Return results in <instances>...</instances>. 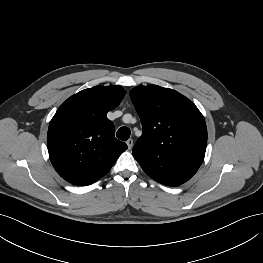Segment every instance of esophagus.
<instances>
[{"label":"esophagus","mask_w":263,"mask_h":263,"mask_svg":"<svg viewBox=\"0 0 263 263\" xmlns=\"http://www.w3.org/2000/svg\"><path fill=\"white\" fill-rule=\"evenodd\" d=\"M126 144H127V146H128V149L130 150V149L132 148V146H133V140H132V139H128V140L126 141Z\"/></svg>","instance_id":"esophagus-1"}]
</instances>
